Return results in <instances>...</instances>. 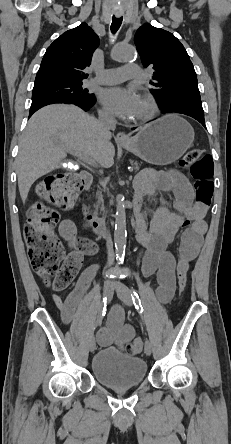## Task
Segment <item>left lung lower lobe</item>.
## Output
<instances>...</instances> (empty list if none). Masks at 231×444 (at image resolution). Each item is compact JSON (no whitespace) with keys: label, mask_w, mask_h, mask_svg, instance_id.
Wrapping results in <instances>:
<instances>
[{"label":"left lung lower lobe","mask_w":231,"mask_h":444,"mask_svg":"<svg viewBox=\"0 0 231 444\" xmlns=\"http://www.w3.org/2000/svg\"><path fill=\"white\" fill-rule=\"evenodd\" d=\"M186 114L188 116L193 117L194 119H196L197 121H199L204 127H205V121H204V115L201 114H195V113H183ZM206 128V127H205Z\"/></svg>","instance_id":"obj_1"}]
</instances>
